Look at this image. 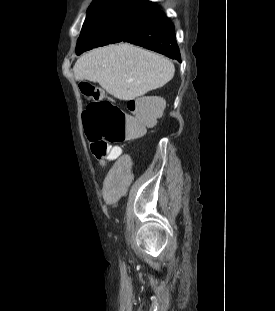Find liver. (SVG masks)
I'll return each mask as SVG.
<instances>
[{"instance_id": "obj_1", "label": "liver", "mask_w": 275, "mask_h": 311, "mask_svg": "<svg viewBox=\"0 0 275 311\" xmlns=\"http://www.w3.org/2000/svg\"><path fill=\"white\" fill-rule=\"evenodd\" d=\"M74 77L98 83L120 100H132L163 87L174 76L167 58L140 47L121 43L94 49L75 63Z\"/></svg>"}]
</instances>
